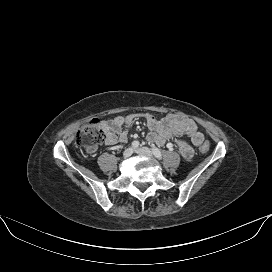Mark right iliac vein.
<instances>
[{"label":"right iliac vein","mask_w":272,"mask_h":272,"mask_svg":"<svg viewBox=\"0 0 272 272\" xmlns=\"http://www.w3.org/2000/svg\"><path fill=\"white\" fill-rule=\"evenodd\" d=\"M133 154V149L131 147L125 149V151L123 152V157L124 158H128Z\"/></svg>","instance_id":"obj_1"}]
</instances>
